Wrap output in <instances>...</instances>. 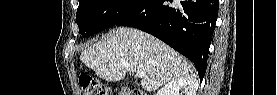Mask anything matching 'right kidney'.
I'll return each mask as SVG.
<instances>
[{"instance_id": "ca27d5eb", "label": "right kidney", "mask_w": 277, "mask_h": 95, "mask_svg": "<svg viewBox=\"0 0 277 95\" xmlns=\"http://www.w3.org/2000/svg\"><path fill=\"white\" fill-rule=\"evenodd\" d=\"M181 88L185 89V95H196L198 83L191 77H183L168 82L156 95H179Z\"/></svg>"}]
</instances>
